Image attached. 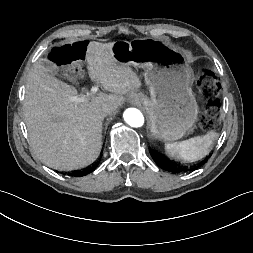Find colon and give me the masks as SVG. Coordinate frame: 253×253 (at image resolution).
<instances>
[{
    "instance_id": "colon-1",
    "label": "colon",
    "mask_w": 253,
    "mask_h": 253,
    "mask_svg": "<svg viewBox=\"0 0 253 253\" xmlns=\"http://www.w3.org/2000/svg\"><path fill=\"white\" fill-rule=\"evenodd\" d=\"M86 52V42L77 41L52 50V59L59 65L72 64L84 59ZM201 96L208 101L205 114L201 120L203 130H211L217 123L220 115V105L217 97L220 85L215 76L210 72H203L197 79Z\"/></svg>"
}]
</instances>
